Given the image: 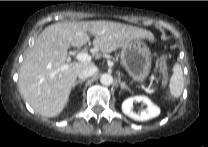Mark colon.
Wrapping results in <instances>:
<instances>
[{"label":"colon","mask_w":208,"mask_h":147,"mask_svg":"<svg viewBox=\"0 0 208 147\" xmlns=\"http://www.w3.org/2000/svg\"><path fill=\"white\" fill-rule=\"evenodd\" d=\"M159 72L163 78V83H166V66L163 60L159 63Z\"/></svg>","instance_id":"5ec220e1"}]
</instances>
